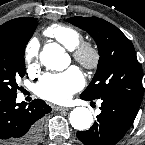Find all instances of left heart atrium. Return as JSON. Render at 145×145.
I'll return each mask as SVG.
<instances>
[{
	"mask_svg": "<svg viewBox=\"0 0 145 145\" xmlns=\"http://www.w3.org/2000/svg\"><path fill=\"white\" fill-rule=\"evenodd\" d=\"M84 85L80 70L70 67L64 72L44 75L36 85L37 94L49 101L64 103Z\"/></svg>",
	"mask_w": 145,
	"mask_h": 145,
	"instance_id": "39dd6f15",
	"label": "left heart atrium"
}]
</instances>
